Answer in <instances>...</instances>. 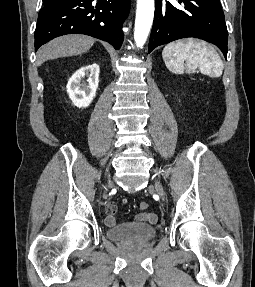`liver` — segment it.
Wrapping results in <instances>:
<instances>
[{
  "label": "liver",
  "mask_w": 255,
  "mask_h": 287,
  "mask_svg": "<svg viewBox=\"0 0 255 287\" xmlns=\"http://www.w3.org/2000/svg\"><path fill=\"white\" fill-rule=\"evenodd\" d=\"M95 40L89 36H78V34H71V36H61L55 38L46 46H42L37 52V66H41L47 60H55V58H64V56H78L84 54L92 48Z\"/></svg>",
  "instance_id": "liver-1"
}]
</instances>
